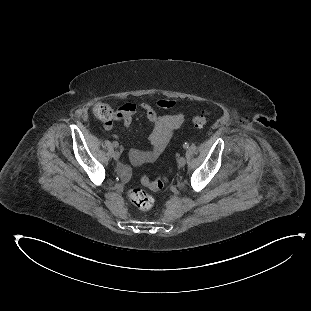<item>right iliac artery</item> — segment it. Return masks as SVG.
Listing matches in <instances>:
<instances>
[{"instance_id":"82829eb1","label":"right iliac artery","mask_w":311,"mask_h":311,"mask_svg":"<svg viewBox=\"0 0 311 311\" xmlns=\"http://www.w3.org/2000/svg\"><path fill=\"white\" fill-rule=\"evenodd\" d=\"M113 146H114L115 148H117V147L119 146V143H118L117 141H114V142H113Z\"/></svg>"}]
</instances>
